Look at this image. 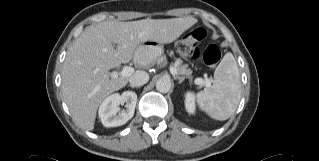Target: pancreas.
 <instances>
[{
	"label": "pancreas",
	"mask_w": 319,
	"mask_h": 161,
	"mask_svg": "<svg viewBox=\"0 0 319 161\" xmlns=\"http://www.w3.org/2000/svg\"><path fill=\"white\" fill-rule=\"evenodd\" d=\"M174 68L177 70V74L181 75L182 77H191L192 70L188 68V64H182L181 60H177L174 63Z\"/></svg>",
	"instance_id": "obj_1"
}]
</instances>
